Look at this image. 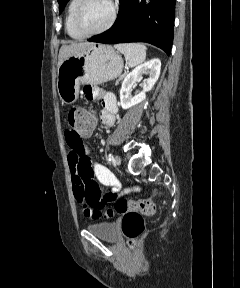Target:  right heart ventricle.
<instances>
[{"mask_svg":"<svg viewBox=\"0 0 240 288\" xmlns=\"http://www.w3.org/2000/svg\"><path fill=\"white\" fill-rule=\"evenodd\" d=\"M79 3V0H70L67 11H66V16H65V29L67 34L76 40L83 39L84 36L81 35L76 29L74 28L73 25V17H74V12Z\"/></svg>","mask_w":240,"mask_h":288,"instance_id":"obj_1","label":"right heart ventricle"}]
</instances>
